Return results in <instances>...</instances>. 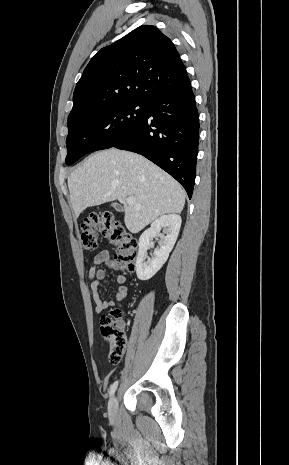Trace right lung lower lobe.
Returning <instances> with one entry per match:
<instances>
[{
    "mask_svg": "<svg viewBox=\"0 0 289 465\" xmlns=\"http://www.w3.org/2000/svg\"><path fill=\"white\" fill-rule=\"evenodd\" d=\"M199 140L195 96L189 85L148 101L146 116L112 147L143 155L174 177L192 196Z\"/></svg>",
    "mask_w": 289,
    "mask_h": 465,
    "instance_id": "98d812e1",
    "label": "right lung lower lobe"
}]
</instances>
